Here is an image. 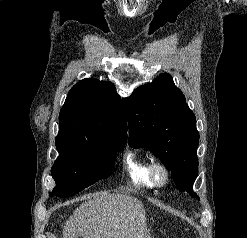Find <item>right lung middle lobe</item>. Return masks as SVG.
<instances>
[{
    "label": "right lung middle lobe",
    "mask_w": 247,
    "mask_h": 238,
    "mask_svg": "<svg viewBox=\"0 0 247 238\" xmlns=\"http://www.w3.org/2000/svg\"><path fill=\"white\" fill-rule=\"evenodd\" d=\"M126 142H96L84 138L56 139L59 156L51 169L56 187L50 196L69 197L113 171L115 157Z\"/></svg>",
    "instance_id": "1"
}]
</instances>
